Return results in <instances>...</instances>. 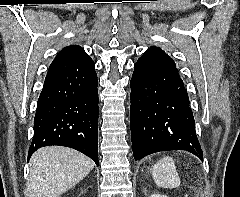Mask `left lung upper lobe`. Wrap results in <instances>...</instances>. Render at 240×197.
<instances>
[{
	"mask_svg": "<svg viewBox=\"0 0 240 197\" xmlns=\"http://www.w3.org/2000/svg\"><path fill=\"white\" fill-rule=\"evenodd\" d=\"M135 66L145 70L178 72L174 61L158 47L149 48L143 56L139 58Z\"/></svg>",
	"mask_w": 240,
	"mask_h": 197,
	"instance_id": "obj_1",
	"label": "left lung upper lobe"
}]
</instances>
